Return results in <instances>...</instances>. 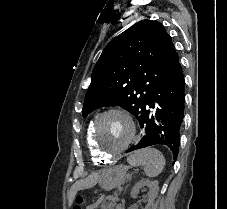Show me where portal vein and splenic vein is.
Masks as SVG:
<instances>
[{
    "label": "portal vein and splenic vein",
    "mask_w": 227,
    "mask_h": 209,
    "mask_svg": "<svg viewBox=\"0 0 227 209\" xmlns=\"http://www.w3.org/2000/svg\"><path fill=\"white\" fill-rule=\"evenodd\" d=\"M106 197H107L108 200H111L112 197L114 198L115 196H114V195L112 196V195L110 194V195H107ZM114 200L116 201L117 199L115 198Z\"/></svg>",
    "instance_id": "portal-vein-and-splenic-vein-1"
}]
</instances>
